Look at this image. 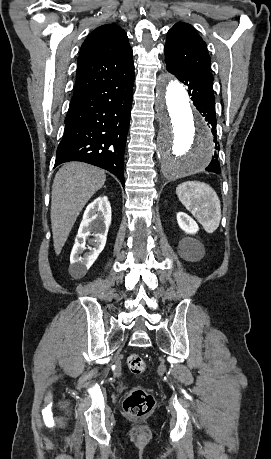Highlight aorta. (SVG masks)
I'll return each instance as SVG.
<instances>
[{"instance_id":"obj_1","label":"aorta","mask_w":271,"mask_h":459,"mask_svg":"<svg viewBox=\"0 0 271 459\" xmlns=\"http://www.w3.org/2000/svg\"><path fill=\"white\" fill-rule=\"evenodd\" d=\"M156 111L157 155L163 174L175 179L202 171L214 152L211 133L193 115L186 88L166 73L157 82Z\"/></svg>"}]
</instances>
